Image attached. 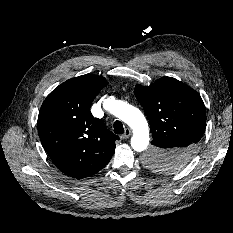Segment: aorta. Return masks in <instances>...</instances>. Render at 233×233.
I'll return each instance as SVG.
<instances>
[{"mask_svg": "<svg viewBox=\"0 0 233 233\" xmlns=\"http://www.w3.org/2000/svg\"><path fill=\"white\" fill-rule=\"evenodd\" d=\"M103 106L133 130L132 148L137 152L144 151L149 144V128L142 112L125 102L111 99L105 100Z\"/></svg>", "mask_w": 233, "mask_h": 233, "instance_id": "762f6f07", "label": "aorta"}]
</instances>
